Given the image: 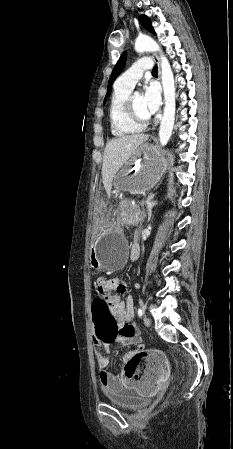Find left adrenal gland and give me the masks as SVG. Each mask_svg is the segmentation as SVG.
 <instances>
[{
	"label": "left adrenal gland",
	"mask_w": 233,
	"mask_h": 449,
	"mask_svg": "<svg viewBox=\"0 0 233 449\" xmlns=\"http://www.w3.org/2000/svg\"><path fill=\"white\" fill-rule=\"evenodd\" d=\"M154 196H155L154 194L149 195L147 200L145 201L146 208H147V214H148V219H147L148 222L151 219L153 207L158 204L157 201H153Z\"/></svg>",
	"instance_id": "left-adrenal-gland-1"
}]
</instances>
